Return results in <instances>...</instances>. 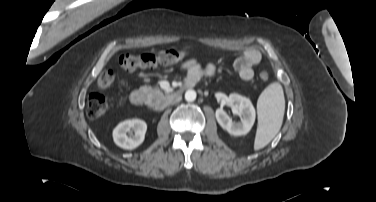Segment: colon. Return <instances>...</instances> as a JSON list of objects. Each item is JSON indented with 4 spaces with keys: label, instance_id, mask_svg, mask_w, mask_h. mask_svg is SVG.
Listing matches in <instances>:
<instances>
[{
    "label": "colon",
    "instance_id": "5ec220e1",
    "mask_svg": "<svg viewBox=\"0 0 376 202\" xmlns=\"http://www.w3.org/2000/svg\"><path fill=\"white\" fill-rule=\"evenodd\" d=\"M189 49L185 46L171 48L158 53H146L142 55L123 54L119 58V66L125 71H134L138 68H153L157 65H171L189 56ZM270 74L266 68L259 69V79L262 82L269 80ZM113 83V73L105 71L97 79L100 91L108 89ZM109 109V103L100 93H92L87 100L86 114L90 118H96L105 114Z\"/></svg>",
    "mask_w": 376,
    "mask_h": 202
}]
</instances>
